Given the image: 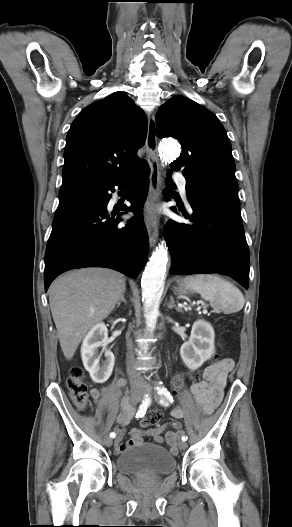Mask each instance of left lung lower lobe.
Listing matches in <instances>:
<instances>
[{
  "instance_id": "1",
  "label": "left lung lower lobe",
  "mask_w": 292,
  "mask_h": 527,
  "mask_svg": "<svg viewBox=\"0 0 292 527\" xmlns=\"http://www.w3.org/2000/svg\"><path fill=\"white\" fill-rule=\"evenodd\" d=\"M170 174L168 171L167 185L173 184ZM163 194L168 201L169 189H164ZM187 197L193 213L180 211L191 223L170 220L165 228L173 258L170 272L181 275L217 272L232 277L246 288L249 250L239 199L213 194Z\"/></svg>"
}]
</instances>
